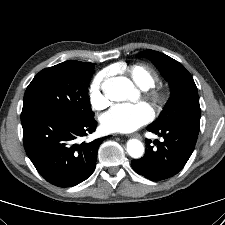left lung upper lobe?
Here are the masks:
<instances>
[{
  "instance_id": "5c2ea615",
  "label": "left lung upper lobe",
  "mask_w": 225,
  "mask_h": 225,
  "mask_svg": "<svg viewBox=\"0 0 225 225\" xmlns=\"http://www.w3.org/2000/svg\"><path fill=\"white\" fill-rule=\"evenodd\" d=\"M138 56L149 58L157 66L169 81L172 91L159 118L149 126L161 128L181 125L199 128V96L191 74L182 64L163 53L145 50Z\"/></svg>"
}]
</instances>
